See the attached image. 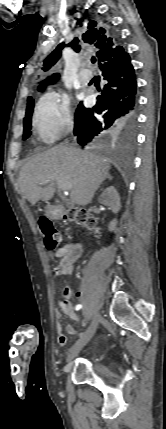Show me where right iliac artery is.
I'll use <instances>...</instances> for the list:
<instances>
[{"label":"right iliac artery","instance_id":"obj_1","mask_svg":"<svg viewBox=\"0 0 166 429\" xmlns=\"http://www.w3.org/2000/svg\"><path fill=\"white\" fill-rule=\"evenodd\" d=\"M81 308H82V305H80V304H79V305H77V306L75 307V310H77V311H78V310H80ZM82 335H83V334H82Z\"/></svg>","mask_w":166,"mask_h":429}]
</instances>
